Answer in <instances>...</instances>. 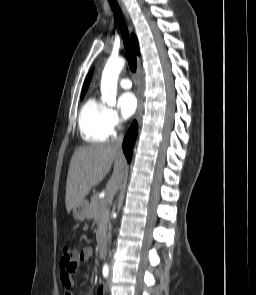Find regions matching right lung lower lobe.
<instances>
[{"instance_id": "1", "label": "right lung lower lobe", "mask_w": 256, "mask_h": 295, "mask_svg": "<svg viewBox=\"0 0 256 295\" xmlns=\"http://www.w3.org/2000/svg\"><path fill=\"white\" fill-rule=\"evenodd\" d=\"M137 131H138V125L136 121H134L123 140V151L128 162L131 161L132 149L137 137Z\"/></svg>"}]
</instances>
